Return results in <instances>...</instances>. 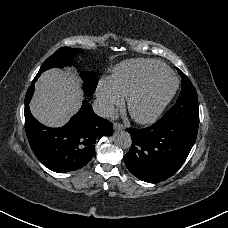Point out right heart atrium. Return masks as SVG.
Returning a JSON list of instances; mask_svg holds the SVG:
<instances>
[{
	"instance_id": "obj_1",
	"label": "right heart atrium",
	"mask_w": 228,
	"mask_h": 228,
	"mask_svg": "<svg viewBox=\"0 0 228 228\" xmlns=\"http://www.w3.org/2000/svg\"><path fill=\"white\" fill-rule=\"evenodd\" d=\"M97 97L105 110H110L113 106H119L123 102V96L109 79H102L99 82Z\"/></svg>"
}]
</instances>
